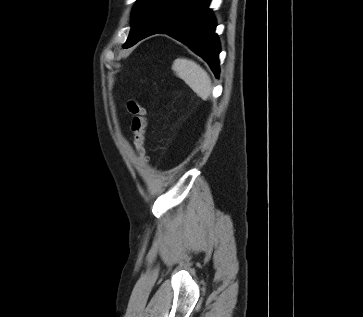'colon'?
I'll return each mask as SVG.
<instances>
[{"label": "colon", "instance_id": "5ec220e1", "mask_svg": "<svg viewBox=\"0 0 363 317\" xmlns=\"http://www.w3.org/2000/svg\"><path fill=\"white\" fill-rule=\"evenodd\" d=\"M128 112L132 116L131 128L134 134V149L136 154L143 158L145 154V140H146V110L135 99H130L127 102Z\"/></svg>", "mask_w": 363, "mask_h": 317}]
</instances>
